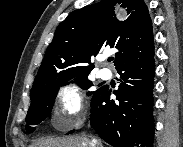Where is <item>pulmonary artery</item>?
Wrapping results in <instances>:
<instances>
[{
	"label": "pulmonary artery",
	"instance_id": "pulmonary-artery-1",
	"mask_svg": "<svg viewBox=\"0 0 183 147\" xmlns=\"http://www.w3.org/2000/svg\"><path fill=\"white\" fill-rule=\"evenodd\" d=\"M98 74H99V77L101 79L106 80V79H109L111 77V70L108 68H102L99 70Z\"/></svg>",
	"mask_w": 183,
	"mask_h": 147
}]
</instances>
